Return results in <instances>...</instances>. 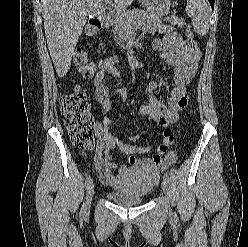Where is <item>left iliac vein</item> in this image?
<instances>
[{
    "mask_svg": "<svg viewBox=\"0 0 248 247\" xmlns=\"http://www.w3.org/2000/svg\"><path fill=\"white\" fill-rule=\"evenodd\" d=\"M162 189L165 194V196L168 198L170 195V181L167 178H163L162 181Z\"/></svg>",
    "mask_w": 248,
    "mask_h": 247,
    "instance_id": "1",
    "label": "left iliac vein"
}]
</instances>
